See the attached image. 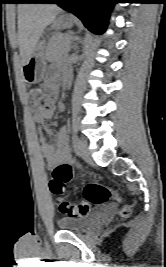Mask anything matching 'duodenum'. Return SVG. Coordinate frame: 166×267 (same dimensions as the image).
Masks as SVG:
<instances>
[{
	"mask_svg": "<svg viewBox=\"0 0 166 267\" xmlns=\"http://www.w3.org/2000/svg\"><path fill=\"white\" fill-rule=\"evenodd\" d=\"M70 79H71L70 74H69V73H66V74L64 75V80H65L67 83H69V82H70Z\"/></svg>",
	"mask_w": 166,
	"mask_h": 267,
	"instance_id": "410a0bca",
	"label": "duodenum"
}]
</instances>
